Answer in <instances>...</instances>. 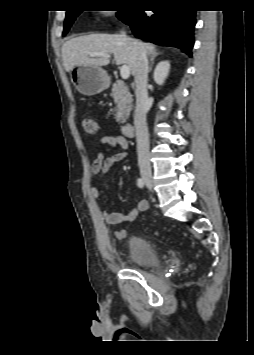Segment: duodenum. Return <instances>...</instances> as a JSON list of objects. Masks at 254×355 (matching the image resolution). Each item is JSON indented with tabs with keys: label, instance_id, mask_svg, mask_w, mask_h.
I'll use <instances>...</instances> for the list:
<instances>
[{
	"label": "duodenum",
	"instance_id": "410a0bca",
	"mask_svg": "<svg viewBox=\"0 0 254 355\" xmlns=\"http://www.w3.org/2000/svg\"><path fill=\"white\" fill-rule=\"evenodd\" d=\"M134 131H135V127L132 123H126L123 126V133L127 136V137H131L134 135Z\"/></svg>",
	"mask_w": 254,
	"mask_h": 355
}]
</instances>
